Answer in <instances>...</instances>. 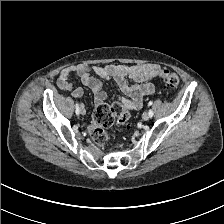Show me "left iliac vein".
Here are the masks:
<instances>
[{
    "label": "left iliac vein",
    "instance_id": "4c4485c4",
    "mask_svg": "<svg viewBox=\"0 0 224 224\" xmlns=\"http://www.w3.org/2000/svg\"><path fill=\"white\" fill-rule=\"evenodd\" d=\"M142 118L144 120H148L150 118L149 114L147 112H144L143 115H142Z\"/></svg>",
    "mask_w": 224,
    "mask_h": 224
}]
</instances>
